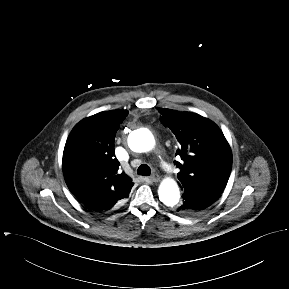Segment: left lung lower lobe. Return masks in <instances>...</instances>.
Wrapping results in <instances>:
<instances>
[{
	"mask_svg": "<svg viewBox=\"0 0 289 289\" xmlns=\"http://www.w3.org/2000/svg\"><path fill=\"white\" fill-rule=\"evenodd\" d=\"M215 200L201 194L183 193V204L177 208L181 214L196 215L209 207Z\"/></svg>",
	"mask_w": 289,
	"mask_h": 289,
	"instance_id": "left-lung-lower-lobe-1",
	"label": "left lung lower lobe"
}]
</instances>
